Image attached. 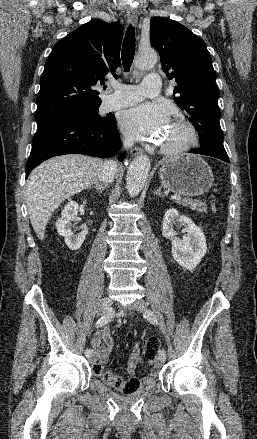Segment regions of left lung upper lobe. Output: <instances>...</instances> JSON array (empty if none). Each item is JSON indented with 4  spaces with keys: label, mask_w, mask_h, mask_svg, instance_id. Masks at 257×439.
Wrapping results in <instances>:
<instances>
[{
    "label": "left lung upper lobe",
    "mask_w": 257,
    "mask_h": 439,
    "mask_svg": "<svg viewBox=\"0 0 257 439\" xmlns=\"http://www.w3.org/2000/svg\"><path fill=\"white\" fill-rule=\"evenodd\" d=\"M150 41L160 54L163 71L178 86L176 104L187 113L199 133L201 151L227 154L219 123V91L205 42L177 21L152 17Z\"/></svg>",
    "instance_id": "5c2ea615"
}]
</instances>
